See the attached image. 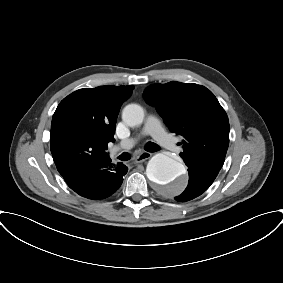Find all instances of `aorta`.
Returning <instances> with one entry per match:
<instances>
[{
	"instance_id": "obj_1",
	"label": "aorta",
	"mask_w": 283,
	"mask_h": 283,
	"mask_svg": "<svg viewBox=\"0 0 283 283\" xmlns=\"http://www.w3.org/2000/svg\"><path fill=\"white\" fill-rule=\"evenodd\" d=\"M143 119L144 110L138 104H129L122 111V120L128 126L140 125ZM146 175L151 182L172 195L182 193L186 187L185 167L164 153H158L149 160Z\"/></svg>"
}]
</instances>
